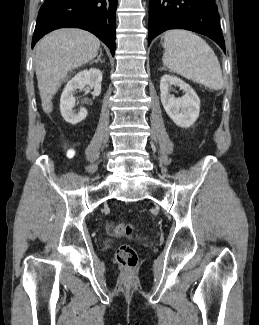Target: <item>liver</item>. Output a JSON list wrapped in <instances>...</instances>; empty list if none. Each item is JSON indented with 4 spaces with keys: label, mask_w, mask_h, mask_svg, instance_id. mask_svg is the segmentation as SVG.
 Here are the masks:
<instances>
[{
    "label": "liver",
    "mask_w": 259,
    "mask_h": 325,
    "mask_svg": "<svg viewBox=\"0 0 259 325\" xmlns=\"http://www.w3.org/2000/svg\"><path fill=\"white\" fill-rule=\"evenodd\" d=\"M100 41L82 29H58L43 37L35 47V72L45 113L69 71L92 61Z\"/></svg>",
    "instance_id": "liver-1"
}]
</instances>
